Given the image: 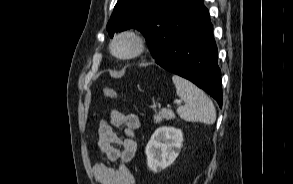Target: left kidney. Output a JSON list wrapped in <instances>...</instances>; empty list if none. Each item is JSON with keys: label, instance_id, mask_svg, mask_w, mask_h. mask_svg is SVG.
<instances>
[{"label": "left kidney", "instance_id": "obj_1", "mask_svg": "<svg viewBox=\"0 0 293 184\" xmlns=\"http://www.w3.org/2000/svg\"><path fill=\"white\" fill-rule=\"evenodd\" d=\"M182 142L181 129L158 128L151 136L145 149L149 169L158 172L170 166L178 157Z\"/></svg>", "mask_w": 293, "mask_h": 184}]
</instances>
